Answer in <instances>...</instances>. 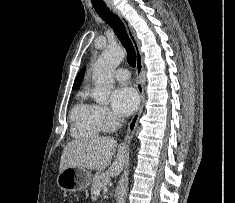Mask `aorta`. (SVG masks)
<instances>
[{
  "instance_id": "obj_1",
  "label": "aorta",
  "mask_w": 235,
  "mask_h": 203,
  "mask_svg": "<svg viewBox=\"0 0 235 203\" xmlns=\"http://www.w3.org/2000/svg\"><path fill=\"white\" fill-rule=\"evenodd\" d=\"M125 57V50L118 44H110L97 59L93 69L95 89L93 98L99 104H107L114 86V71ZM125 188L121 191L118 203H124Z\"/></svg>"
}]
</instances>
